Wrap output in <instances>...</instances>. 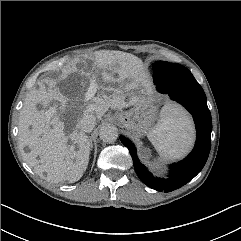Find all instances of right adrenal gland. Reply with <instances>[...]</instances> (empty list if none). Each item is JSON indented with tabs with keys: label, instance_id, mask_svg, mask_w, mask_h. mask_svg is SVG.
I'll return each mask as SVG.
<instances>
[{
	"label": "right adrenal gland",
	"instance_id": "right-adrenal-gland-1",
	"mask_svg": "<svg viewBox=\"0 0 241 241\" xmlns=\"http://www.w3.org/2000/svg\"><path fill=\"white\" fill-rule=\"evenodd\" d=\"M89 141H90V150H91V149H92L93 144H92V140H91V139H89Z\"/></svg>",
	"mask_w": 241,
	"mask_h": 241
}]
</instances>
